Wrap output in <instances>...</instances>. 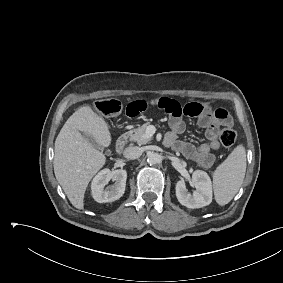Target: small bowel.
Here are the masks:
<instances>
[{
  "instance_id": "small-bowel-1",
  "label": "small bowel",
  "mask_w": 283,
  "mask_h": 283,
  "mask_svg": "<svg viewBox=\"0 0 283 283\" xmlns=\"http://www.w3.org/2000/svg\"><path fill=\"white\" fill-rule=\"evenodd\" d=\"M149 106L163 109L170 117L171 131L165 137L167 145L204 168H210L214 164L215 156L212 151L220 147L218 130L221 126L230 127L233 124L226 110L212 109L208 104L201 102H191L181 106L176 100L161 96L150 100L137 99L130 102L127 105L126 114L128 117H137ZM184 117H197L199 126L205 128V142L195 146L179 138L185 130Z\"/></svg>"
}]
</instances>
